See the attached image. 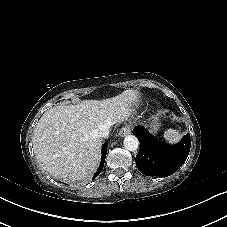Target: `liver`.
Returning a JSON list of instances; mask_svg holds the SVG:
<instances>
[{"instance_id": "6515ba94", "label": "liver", "mask_w": 227, "mask_h": 227, "mask_svg": "<svg viewBox=\"0 0 227 227\" xmlns=\"http://www.w3.org/2000/svg\"><path fill=\"white\" fill-rule=\"evenodd\" d=\"M137 98V91L126 90L112 98L49 109L32 138L37 162L54 178L71 182L90 179L101 156V141L95 131L127 120Z\"/></svg>"}]
</instances>
